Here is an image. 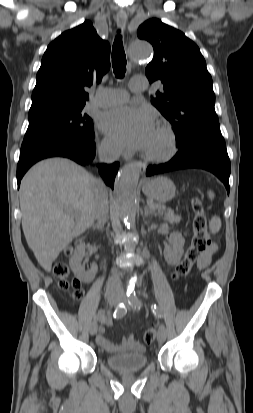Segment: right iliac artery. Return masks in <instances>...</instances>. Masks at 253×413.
<instances>
[{"label": "right iliac artery", "mask_w": 253, "mask_h": 413, "mask_svg": "<svg viewBox=\"0 0 253 413\" xmlns=\"http://www.w3.org/2000/svg\"><path fill=\"white\" fill-rule=\"evenodd\" d=\"M126 313H127V308H126V306L124 305V303H119V304L117 305V307L115 308L114 312H113V317H114V318H122ZM106 319H109V318H106V317H105V312H104V311L99 312V313L94 317V320H95V321H97V320H99V321L104 320V321H105Z\"/></svg>", "instance_id": "right-iliac-artery-1"}]
</instances>
